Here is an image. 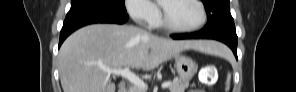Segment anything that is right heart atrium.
<instances>
[{
    "instance_id": "d8ad5b80",
    "label": "right heart atrium",
    "mask_w": 296,
    "mask_h": 92,
    "mask_svg": "<svg viewBox=\"0 0 296 92\" xmlns=\"http://www.w3.org/2000/svg\"><path fill=\"white\" fill-rule=\"evenodd\" d=\"M126 8L135 21L143 24H154L159 17V8L154 1L128 0L126 1Z\"/></svg>"
}]
</instances>
